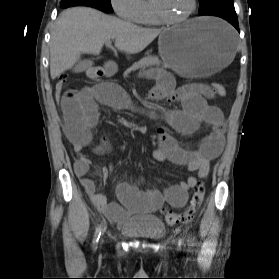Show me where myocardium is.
I'll return each instance as SVG.
<instances>
[{
	"label": "myocardium",
	"instance_id": "f54148a6",
	"mask_svg": "<svg viewBox=\"0 0 279 279\" xmlns=\"http://www.w3.org/2000/svg\"><path fill=\"white\" fill-rule=\"evenodd\" d=\"M150 1H151L152 9H153L154 14L157 17V19L161 23L168 24V25H178L183 22H186L194 15L196 8H197V0H191V2H192L191 7L185 13V15H183L179 18H170L164 13L159 0H150Z\"/></svg>",
	"mask_w": 279,
	"mask_h": 279
}]
</instances>
